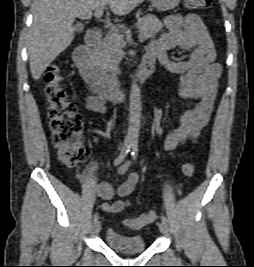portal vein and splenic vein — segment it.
Returning a JSON list of instances; mask_svg holds the SVG:
<instances>
[{"mask_svg":"<svg viewBox=\"0 0 254 267\" xmlns=\"http://www.w3.org/2000/svg\"><path fill=\"white\" fill-rule=\"evenodd\" d=\"M103 12H104V11H103V8H98V9H96V10H95V13H94V14H95V17L98 18V19L101 18L102 15H103ZM113 35L115 36L116 34H113ZM118 37H119V36H118ZM145 39H146V38H145L144 35H141V34L139 35V41H140V42H143ZM124 45H125V43H124Z\"/></svg>","mask_w":254,"mask_h":267,"instance_id":"18ae733b","label":"portal vein and splenic vein"}]
</instances>
